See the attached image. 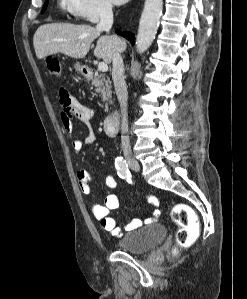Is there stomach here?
<instances>
[{"label": "stomach", "instance_id": "0dacf381", "mask_svg": "<svg viewBox=\"0 0 247 299\" xmlns=\"http://www.w3.org/2000/svg\"><path fill=\"white\" fill-rule=\"evenodd\" d=\"M75 70L85 76L87 74V68L80 65V63L75 64Z\"/></svg>", "mask_w": 247, "mask_h": 299}]
</instances>
